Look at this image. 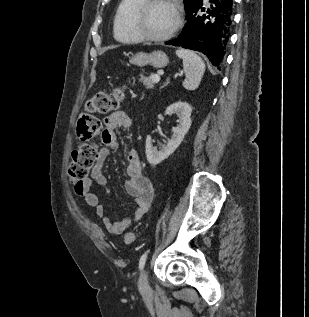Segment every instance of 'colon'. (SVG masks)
I'll return each mask as SVG.
<instances>
[{
  "mask_svg": "<svg viewBox=\"0 0 309 317\" xmlns=\"http://www.w3.org/2000/svg\"><path fill=\"white\" fill-rule=\"evenodd\" d=\"M123 97V90L118 87L109 93L99 92L88 100L86 104L87 112L79 118L77 125V133L81 140H90L101 133V121L94 114H105L117 109ZM97 157L98 147L96 144L84 143L76 147L72 152V160L68 169L70 181L77 185L87 178L96 163ZM125 242L132 244L134 235L127 233Z\"/></svg>",
  "mask_w": 309,
  "mask_h": 317,
  "instance_id": "1",
  "label": "colon"
}]
</instances>
